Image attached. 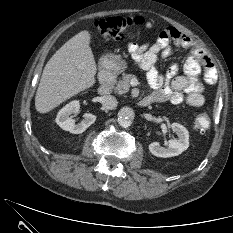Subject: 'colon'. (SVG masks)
<instances>
[{"label":"colon","instance_id":"1","mask_svg":"<svg viewBox=\"0 0 233 233\" xmlns=\"http://www.w3.org/2000/svg\"><path fill=\"white\" fill-rule=\"evenodd\" d=\"M143 23L144 20L141 17L112 16L97 20L95 28L101 36L114 38L121 35L126 29ZM210 124L211 117L206 112L198 114L193 121L194 129L199 132H205Z\"/></svg>","mask_w":233,"mask_h":233}]
</instances>
